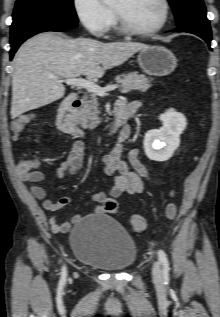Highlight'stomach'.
<instances>
[{"instance_id": "stomach-1", "label": "stomach", "mask_w": 220, "mask_h": 317, "mask_svg": "<svg viewBox=\"0 0 220 317\" xmlns=\"http://www.w3.org/2000/svg\"><path fill=\"white\" fill-rule=\"evenodd\" d=\"M137 60L141 69L153 76H166L177 66L175 55L169 49L156 45L141 49Z\"/></svg>"}]
</instances>
